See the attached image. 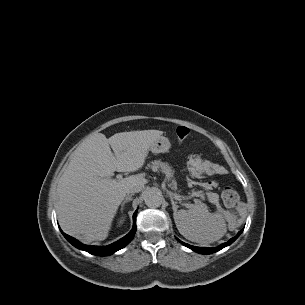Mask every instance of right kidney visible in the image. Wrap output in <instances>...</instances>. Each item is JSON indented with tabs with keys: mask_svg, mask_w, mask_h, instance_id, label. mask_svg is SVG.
I'll list each match as a JSON object with an SVG mask.
<instances>
[{
	"mask_svg": "<svg viewBox=\"0 0 305 305\" xmlns=\"http://www.w3.org/2000/svg\"><path fill=\"white\" fill-rule=\"evenodd\" d=\"M124 220H120L119 224H122Z\"/></svg>",
	"mask_w": 305,
	"mask_h": 305,
	"instance_id": "ca27d5eb",
	"label": "right kidney"
}]
</instances>
